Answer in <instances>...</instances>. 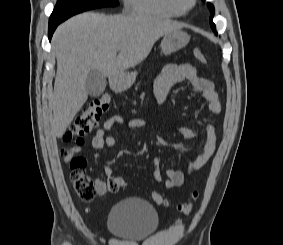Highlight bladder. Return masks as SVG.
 <instances>
[{"instance_id":"obj_1","label":"bladder","mask_w":283,"mask_h":245,"mask_svg":"<svg viewBox=\"0 0 283 245\" xmlns=\"http://www.w3.org/2000/svg\"><path fill=\"white\" fill-rule=\"evenodd\" d=\"M159 224L156 209L139 198H127L117 202L108 215V228L119 239L143 240L156 232Z\"/></svg>"}]
</instances>
